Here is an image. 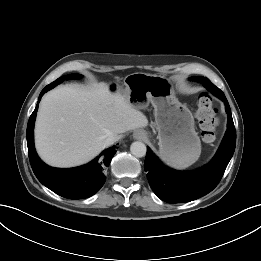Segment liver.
Instances as JSON below:
<instances>
[{"label": "liver", "instance_id": "1", "mask_svg": "<svg viewBox=\"0 0 261 261\" xmlns=\"http://www.w3.org/2000/svg\"><path fill=\"white\" fill-rule=\"evenodd\" d=\"M147 126V117L108 85H65L41 100L35 147L47 164L73 167L96 157L108 136Z\"/></svg>", "mask_w": 261, "mask_h": 261}]
</instances>
